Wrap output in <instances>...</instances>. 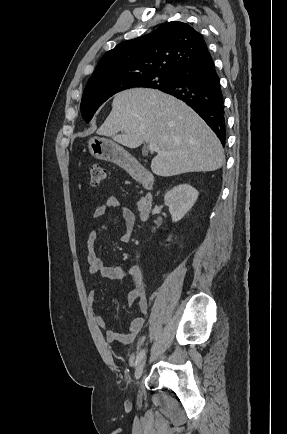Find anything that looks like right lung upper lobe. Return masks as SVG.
Returning <instances> with one entry per match:
<instances>
[{
  "label": "right lung upper lobe",
  "mask_w": 287,
  "mask_h": 434,
  "mask_svg": "<svg viewBox=\"0 0 287 434\" xmlns=\"http://www.w3.org/2000/svg\"><path fill=\"white\" fill-rule=\"evenodd\" d=\"M208 55L199 32L183 22H167L152 33L122 42L106 52L88 82L145 74L177 76Z\"/></svg>",
  "instance_id": "1"
}]
</instances>
